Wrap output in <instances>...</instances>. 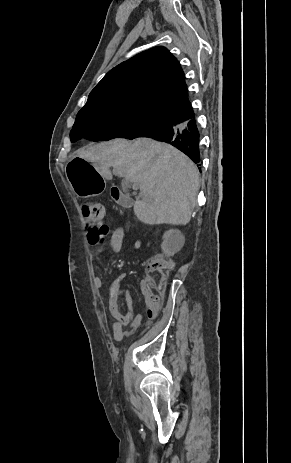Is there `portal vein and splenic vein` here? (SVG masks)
I'll return each instance as SVG.
<instances>
[{"instance_id": "portal-vein-and-splenic-vein-1", "label": "portal vein and splenic vein", "mask_w": 291, "mask_h": 463, "mask_svg": "<svg viewBox=\"0 0 291 463\" xmlns=\"http://www.w3.org/2000/svg\"><path fill=\"white\" fill-rule=\"evenodd\" d=\"M127 182L129 183V182H131V181H127ZM132 188H133V189H137V188H138V184L132 182Z\"/></svg>"}]
</instances>
